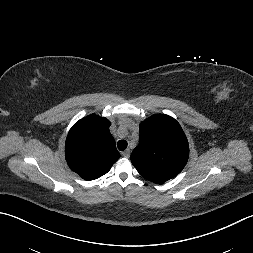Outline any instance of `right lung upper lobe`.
<instances>
[{"label":"right lung upper lobe","instance_id":"right-lung-upper-lobe-1","mask_svg":"<svg viewBox=\"0 0 253 253\" xmlns=\"http://www.w3.org/2000/svg\"><path fill=\"white\" fill-rule=\"evenodd\" d=\"M111 123L94 114L79 120L70 130L65 156L70 169L85 180L106 174L119 159L115 140L109 132Z\"/></svg>","mask_w":253,"mask_h":253}]
</instances>
